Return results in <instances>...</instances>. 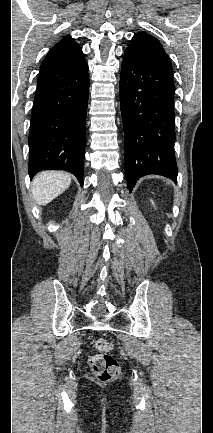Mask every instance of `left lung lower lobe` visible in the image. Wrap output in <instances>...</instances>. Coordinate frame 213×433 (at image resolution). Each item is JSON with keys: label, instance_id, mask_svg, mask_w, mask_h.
Segmentation results:
<instances>
[{"label": "left lung lower lobe", "instance_id": "left-lung-lower-lobe-1", "mask_svg": "<svg viewBox=\"0 0 213 433\" xmlns=\"http://www.w3.org/2000/svg\"><path fill=\"white\" fill-rule=\"evenodd\" d=\"M172 70L127 48L120 77L125 172L129 191L158 174L177 180Z\"/></svg>", "mask_w": 213, "mask_h": 433}]
</instances>
